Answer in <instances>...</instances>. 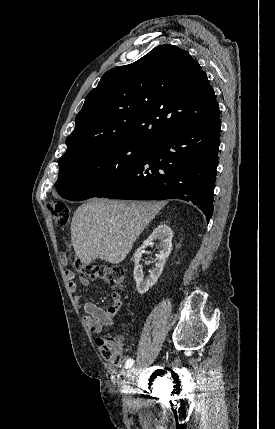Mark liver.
<instances>
[{"mask_svg":"<svg viewBox=\"0 0 275 429\" xmlns=\"http://www.w3.org/2000/svg\"><path fill=\"white\" fill-rule=\"evenodd\" d=\"M162 207V202L90 199L72 218L75 254L85 264L96 258L111 264L122 262Z\"/></svg>","mask_w":275,"mask_h":429,"instance_id":"obj_1","label":"liver"}]
</instances>
